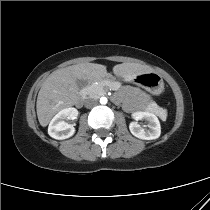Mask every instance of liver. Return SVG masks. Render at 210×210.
<instances>
[{
  "mask_svg": "<svg viewBox=\"0 0 210 210\" xmlns=\"http://www.w3.org/2000/svg\"><path fill=\"white\" fill-rule=\"evenodd\" d=\"M147 72H153V69L139 63L125 62L113 67V73L117 77H129ZM106 78L108 73L105 65L88 62L51 73L43 82L37 97L36 111L40 125L47 126L55 114L79 101L78 79L91 84L102 82Z\"/></svg>",
  "mask_w": 210,
  "mask_h": 210,
  "instance_id": "obj_1",
  "label": "liver"
}]
</instances>
